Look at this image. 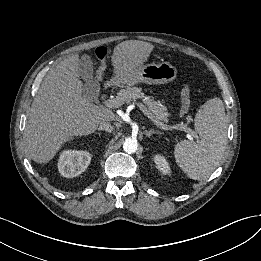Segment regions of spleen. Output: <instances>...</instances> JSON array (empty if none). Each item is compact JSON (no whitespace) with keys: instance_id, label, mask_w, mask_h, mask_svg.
Returning <instances> with one entry per match:
<instances>
[{"instance_id":"spleen-1","label":"spleen","mask_w":261,"mask_h":261,"mask_svg":"<svg viewBox=\"0 0 261 261\" xmlns=\"http://www.w3.org/2000/svg\"><path fill=\"white\" fill-rule=\"evenodd\" d=\"M195 130L201 139L178 142L174 157L189 178L204 180L219 166L227 144V120L221 99H209L200 107L195 117Z\"/></svg>"}]
</instances>
